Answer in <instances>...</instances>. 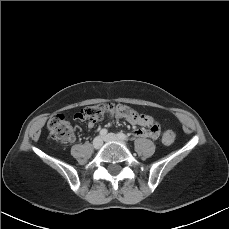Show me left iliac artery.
Instances as JSON below:
<instances>
[{
  "instance_id": "1",
  "label": "left iliac artery",
  "mask_w": 229,
  "mask_h": 229,
  "mask_svg": "<svg viewBox=\"0 0 229 229\" xmlns=\"http://www.w3.org/2000/svg\"><path fill=\"white\" fill-rule=\"evenodd\" d=\"M117 135H118V137L120 139H123V140H128L129 139L128 136L126 134L122 133V132H119Z\"/></svg>"
}]
</instances>
